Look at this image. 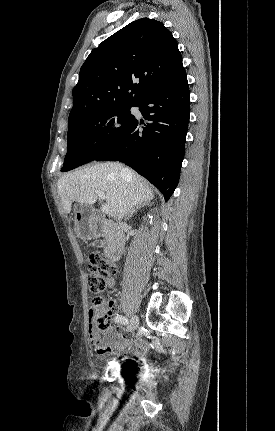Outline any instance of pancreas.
Returning <instances> with one entry per match:
<instances>
[{"label":"pancreas","instance_id":"obj_1","mask_svg":"<svg viewBox=\"0 0 275 431\" xmlns=\"http://www.w3.org/2000/svg\"><path fill=\"white\" fill-rule=\"evenodd\" d=\"M107 237H108V235H107ZM101 244L103 245V244H105V243H103V242H102Z\"/></svg>","mask_w":275,"mask_h":431}]
</instances>
